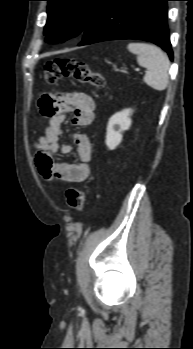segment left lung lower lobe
Segmentation results:
<instances>
[{
	"instance_id": "0a47b994",
	"label": "left lung lower lobe",
	"mask_w": 193,
	"mask_h": 349,
	"mask_svg": "<svg viewBox=\"0 0 193 349\" xmlns=\"http://www.w3.org/2000/svg\"><path fill=\"white\" fill-rule=\"evenodd\" d=\"M169 0H107L85 29L79 46L106 40L140 39L161 46L173 59L166 23Z\"/></svg>"
}]
</instances>
